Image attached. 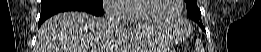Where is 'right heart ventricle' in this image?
Listing matches in <instances>:
<instances>
[{
	"instance_id": "1",
	"label": "right heart ventricle",
	"mask_w": 261,
	"mask_h": 52,
	"mask_svg": "<svg viewBox=\"0 0 261 52\" xmlns=\"http://www.w3.org/2000/svg\"><path fill=\"white\" fill-rule=\"evenodd\" d=\"M124 8L126 10L133 11L134 10V4L126 5V6H124ZM140 22H144L143 19H141L140 16H135L134 18H132V21L130 22V24H137V23H140Z\"/></svg>"
}]
</instances>
